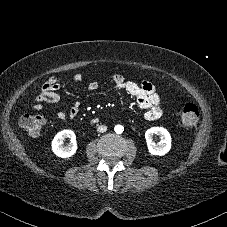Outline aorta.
<instances>
[{
    "label": "aorta",
    "instance_id": "762f6f07",
    "mask_svg": "<svg viewBox=\"0 0 227 227\" xmlns=\"http://www.w3.org/2000/svg\"><path fill=\"white\" fill-rule=\"evenodd\" d=\"M114 130L117 134H121L124 130V127L122 125H116Z\"/></svg>",
    "mask_w": 227,
    "mask_h": 227
}]
</instances>
